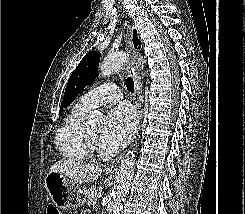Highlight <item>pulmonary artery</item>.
Instances as JSON below:
<instances>
[{
  "mask_svg": "<svg viewBox=\"0 0 245 214\" xmlns=\"http://www.w3.org/2000/svg\"><path fill=\"white\" fill-rule=\"evenodd\" d=\"M122 99V92L114 83H104L83 94L80 102L85 106L97 107L105 103H114Z\"/></svg>",
  "mask_w": 245,
  "mask_h": 214,
  "instance_id": "1",
  "label": "pulmonary artery"
}]
</instances>
